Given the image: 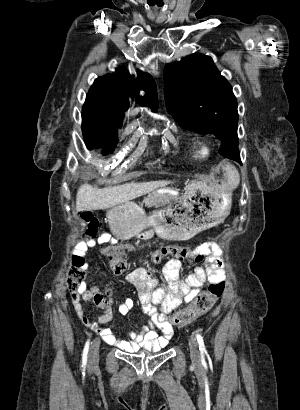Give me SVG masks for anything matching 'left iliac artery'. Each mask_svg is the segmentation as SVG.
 Returning a JSON list of instances; mask_svg holds the SVG:
<instances>
[{"label":"left iliac artery","mask_w":300,"mask_h":410,"mask_svg":"<svg viewBox=\"0 0 300 410\" xmlns=\"http://www.w3.org/2000/svg\"><path fill=\"white\" fill-rule=\"evenodd\" d=\"M197 342L199 344V350L201 352L202 362H204V353L206 352V348L204 345L203 337L200 334H196Z\"/></svg>","instance_id":"left-iliac-artery-1"}]
</instances>
